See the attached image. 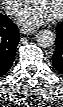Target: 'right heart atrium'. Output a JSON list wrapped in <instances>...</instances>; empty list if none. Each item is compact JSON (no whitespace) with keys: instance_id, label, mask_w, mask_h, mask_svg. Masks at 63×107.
Listing matches in <instances>:
<instances>
[{"instance_id":"d8ad5b80","label":"right heart atrium","mask_w":63,"mask_h":107,"mask_svg":"<svg viewBox=\"0 0 63 107\" xmlns=\"http://www.w3.org/2000/svg\"><path fill=\"white\" fill-rule=\"evenodd\" d=\"M21 4V0H5L4 2V6L9 12H16Z\"/></svg>"}]
</instances>
